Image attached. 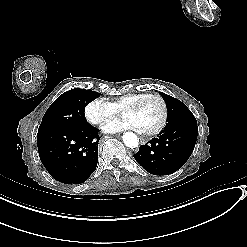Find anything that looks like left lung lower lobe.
Listing matches in <instances>:
<instances>
[{
  "label": "left lung lower lobe",
  "mask_w": 247,
  "mask_h": 247,
  "mask_svg": "<svg viewBox=\"0 0 247 247\" xmlns=\"http://www.w3.org/2000/svg\"><path fill=\"white\" fill-rule=\"evenodd\" d=\"M197 135V125L181 124L165 127L157 138L141 145L134 158L153 175L172 174L191 156Z\"/></svg>",
  "instance_id": "left-lung-lower-lobe-1"
}]
</instances>
